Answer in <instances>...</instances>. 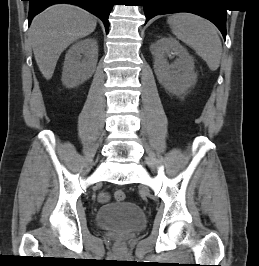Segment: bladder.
Masks as SVG:
<instances>
[{
  "label": "bladder",
  "mask_w": 259,
  "mask_h": 266,
  "mask_svg": "<svg viewBox=\"0 0 259 266\" xmlns=\"http://www.w3.org/2000/svg\"><path fill=\"white\" fill-rule=\"evenodd\" d=\"M95 221L102 229L134 232L145 227L146 216L137 204L120 202L102 206L96 213Z\"/></svg>",
  "instance_id": "31cf9c89"
}]
</instances>
